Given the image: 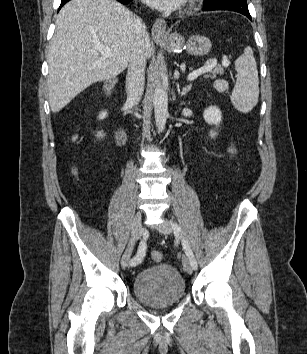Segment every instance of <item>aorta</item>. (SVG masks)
I'll return each mask as SVG.
<instances>
[{"label": "aorta", "instance_id": "aorta-1", "mask_svg": "<svg viewBox=\"0 0 307 354\" xmlns=\"http://www.w3.org/2000/svg\"><path fill=\"white\" fill-rule=\"evenodd\" d=\"M153 106L156 127L158 133H161L165 129L166 120L168 118V94L159 82L154 90Z\"/></svg>", "mask_w": 307, "mask_h": 354}]
</instances>
